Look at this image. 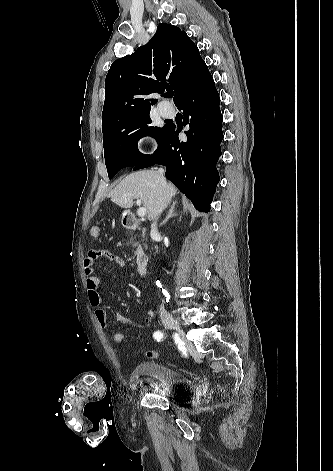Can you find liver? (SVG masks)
<instances>
[{"instance_id": "obj_1", "label": "liver", "mask_w": 333, "mask_h": 471, "mask_svg": "<svg viewBox=\"0 0 333 471\" xmlns=\"http://www.w3.org/2000/svg\"><path fill=\"white\" fill-rule=\"evenodd\" d=\"M167 184L169 202L177 190ZM163 195V186L159 173L155 170H142L126 176L109 194L111 201L121 208H131L134 199H141L147 210L150 221L157 218V211Z\"/></svg>"}]
</instances>
